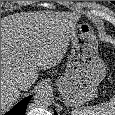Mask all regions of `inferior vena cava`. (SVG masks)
<instances>
[{
    "label": "inferior vena cava",
    "mask_w": 115,
    "mask_h": 115,
    "mask_svg": "<svg viewBox=\"0 0 115 115\" xmlns=\"http://www.w3.org/2000/svg\"><path fill=\"white\" fill-rule=\"evenodd\" d=\"M14 86L19 90H24L25 88H27L28 84L24 80H17L14 83Z\"/></svg>",
    "instance_id": "obj_1"
}]
</instances>
